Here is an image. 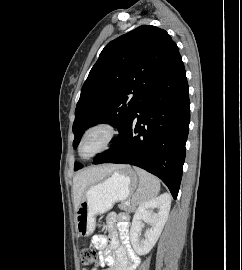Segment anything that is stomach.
Returning a JSON list of instances; mask_svg holds the SVG:
<instances>
[{"label":"stomach","instance_id":"0dacf381","mask_svg":"<svg viewBox=\"0 0 242 270\" xmlns=\"http://www.w3.org/2000/svg\"><path fill=\"white\" fill-rule=\"evenodd\" d=\"M137 184L136 173L130 167L123 166L110 173L104 180L89 186L75 214L78 235H91L95 229L96 216L107 212L115 202L127 199Z\"/></svg>","mask_w":242,"mask_h":270}]
</instances>
